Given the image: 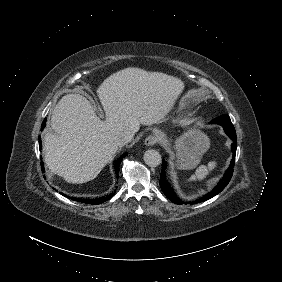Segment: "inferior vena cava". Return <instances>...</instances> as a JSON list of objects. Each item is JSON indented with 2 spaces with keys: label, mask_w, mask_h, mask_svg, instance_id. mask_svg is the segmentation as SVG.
<instances>
[{
  "label": "inferior vena cava",
  "mask_w": 282,
  "mask_h": 282,
  "mask_svg": "<svg viewBox=\"0 0 282 282\" xmlns=\"http://www.w3.org/2000/svg\"><path fill=\"white\" fill-rule=\"evenodd\" d=\"M134 138L133 132L129 128L122 129L114 136V142L118 147H124Z\"/></svg>",
  "instance_id": "obj_1"
}]
</instances>
